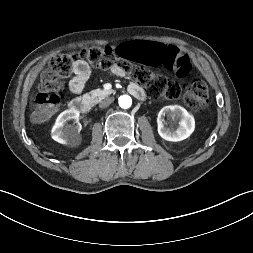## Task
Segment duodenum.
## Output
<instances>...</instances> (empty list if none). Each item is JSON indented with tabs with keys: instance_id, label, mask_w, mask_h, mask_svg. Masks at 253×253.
Wrapping results in <instances>:
<instances>
[{
	"instance_id": "duodenum-1",
	"label": "duodenum",
	"mask_w": 253,
	"mask_h": 253,
	"mask_svg": "<svg viewBox=\"0 0 253 253\" xmlns=\"http://www.w3.org/2000/svg\"><path fill=\"white\" fill-rule=\"evenodd\" d=\"M129 92L138 99H143L145 96L143 90L135 84L129 86ZM95 102L96 99L94 97H76L71 100L70 108L79 113L86 114L92 110Z\"/></svg>"
}]
</instances>
